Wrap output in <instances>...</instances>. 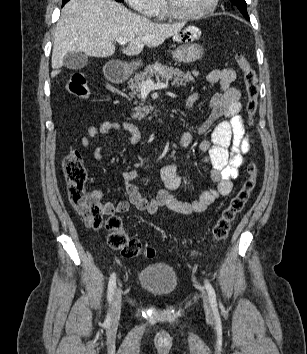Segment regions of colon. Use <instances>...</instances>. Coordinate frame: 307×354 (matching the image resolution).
<instances>
[{"mask_svg": "<svg viewBox=\"0 0 307 354\" xmlns=\"http://www.w3.org/2000/svg\"><path fill=\"white\" fill-rule=\"evenodd\" d=\"M236 60L243 72L246 112L250 121H253L258 107L257 75L243 54L238 53ZM67 89L71 95L80 99H85L90 94L87 79L81 73L72 75ZM62 166L67 181L69 201L75 211L82 216L86 225L91 228L104 226L108 231L107 243L109 247L119 251L123 257L152 258L155 254L154 248L143 246L138 240L129 237L123 229L122 220L118 216L112 215L113 213H108L105 205L93 198L91 193L86 190L87 171L80 152L78 150L70 151L65 156ZM257 170V164L250 162L247 167V177L241 188L214 224L211 234L213 242L219 243L227 238L236 215L243 210L255 187ZM106 215L109 216L105 219Z\"/></svg>", "mask_w": 307, "mask_h": 354, "instance_id": "obj_1", "label": "colon"}]
</instances>
